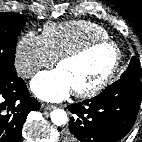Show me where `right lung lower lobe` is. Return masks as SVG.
I'll return each instance as SVG.
<instances>
[{
    "instance_id": "1",
    "label": "right lung lower lobe",
    "mask_w": 142,
    "mask_h": 142,
    "mask_svg": "<svg viewBox=\"0 0 142 142\" xmlns=\"http://www.w3.org/2000/svg\"><path fill=\"white\" fill-rule=\"evenodd\" d=\"M39 108L40 103L30 97L21 78L0 79V142H21L28 113Z\"/></svg>"
}]
</instances>
